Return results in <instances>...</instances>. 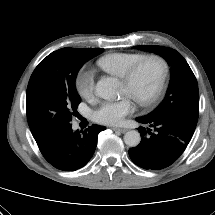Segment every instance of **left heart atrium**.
I'll use <instances>...</instances> for the list:
<instances>
[{
  "mask_svg": "<svg viewBox=\"0 0 215 215\" xmlns=\"http://www.w3.org/2000/svg\"><path fill=\"white\" fill-rule=\"evenodd\" d=\"M134 105L129 95L117 101L102 103L93 113L96 122L105 125H119L128 114L132 113Z\"/></svg>",
  "mask_w": 215,
  "mask_h": 215,
  "instance_id": "39dd6f15",
  "label": "left heart atrium"
}]
</instances>
